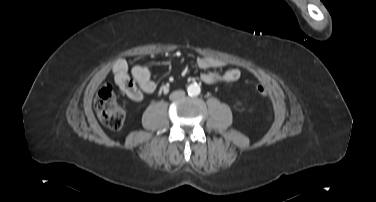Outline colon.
I'll list each match as a JSON object with an SVG mask.
<instances>
[{"label": "colon", "mask_w": 376, "mask_h": 202, "mask_svg": "<svg viewBox=\"0 0 376 202\" xmlns=\"http://www.w3.org/2000/svg\"><path fill=\"white\" fill-rule=\"evenodd\" d=\"M256 90L261 95L267 92L263 84H258ZM94 108L101 123L108 128L119 130L124 125L126 112L111 86L104 85L100 88L94 100Z\"/></svg>", "instance_id": "colon-1"}]
</instances>
